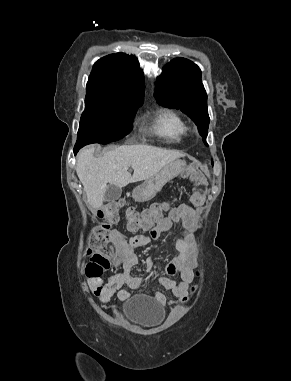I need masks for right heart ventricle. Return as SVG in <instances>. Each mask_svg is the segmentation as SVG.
I'll return each instance as SVG.
<instances>
[{
    "label": "right heart ventricle",
    "mask_w": 291,
    "mask_h": 381,
    "mask_svg": "<svg viewBox=\"0 0 291 381\" xmlns=\"http://www.w3.org/2000/svg\"><path fill=\"white\" fill-rule=\"evenodd\" d=\"M154 131L170 142L181 143L187 138L189 127L178 113L162 110L154 118Z\"/></svg>",
    "instance_id": "1"
}]
</instances>
